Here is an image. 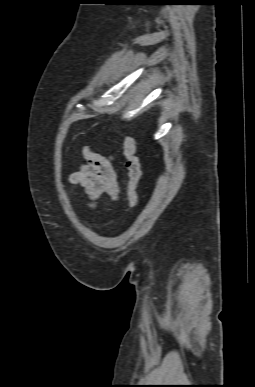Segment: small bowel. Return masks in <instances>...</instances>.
Wrapping results in <instances>:
<instances>
[{
  "instance_id": "small-bowel-1",
  "label": "small bowel",
  "mask_w": 255,
  "mask_h": 387,
  "mask_svg": "<svg viewBox=\"0 0 255 387\" xmlns=\"http://www.w3.org/2000/svg\"><path fill=\"white\" fill-rule=\"evenodd\" d=\"M82 153L85 163L71 175L70 181L79 184L92 201L103 194L116 200L119 195L118 170L113 160L88 147Z\"/></svg>"
}]
</instances>
